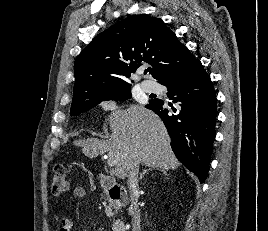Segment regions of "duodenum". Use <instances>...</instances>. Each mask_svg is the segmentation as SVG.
Here are the masks:
<instances>
[{
  "mask_svg": "<svg viewBox=\"0 0 268 231\" xmlns=\"http://www.w3.org/2000/svg\"><path fill=\"white\" fill-rule=\"evenodd\" d=\"M99 183L102 188L108 191L109 198L114 205L126 204L128 202V193L126 189L122 185L118 184L113 177L108 175H100ZM112 230L126 231L125 221L121 218L115 219Z\"/></svg>",
  "mask_w": 268,
  "mask_h": 231,
  "instance_id": "duodenum-1",
  "label": "duodenum"
}]
</instances>
